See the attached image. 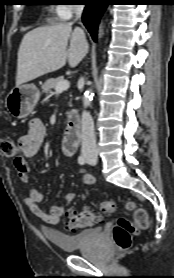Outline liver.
Wrapping results in <instances>:
<instances>
[{"instance_id": "6515ba94", "label": "liver", "mask_w": 174, "mask_h": 278, "mask_svg": "<svg viewBox=\"0 0 174 278\" xmlns=\"http://www.w3.org/2000/svg\"><path fill=\"white\" fill-rule=\"evenodd\" d=\"M70 46L67 49L68 40ZM88 51L84 31L70 23L38 27L26 33L18 50L16 85L62 68L75 67Z\"/></svg>"}]
</instances>
